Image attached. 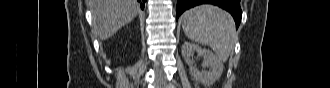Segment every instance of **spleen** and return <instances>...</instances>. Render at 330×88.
<instances>
[{"instance_id":"spleen-1","label":"spleen","mask_w":330,"mask_h":88,"mask_svg":"<svg viewBox=\"0 0 330 88\" xmlns=\"http://www.w3.org/2000/svg\"><path fill=\"white\" fill-rule=\"evenodd\" d=\"M186 36L209 46L220 61H227L236 43L232 16L214 5H199L185 11L181 17Z\"/></svg>"}]
</instances>
